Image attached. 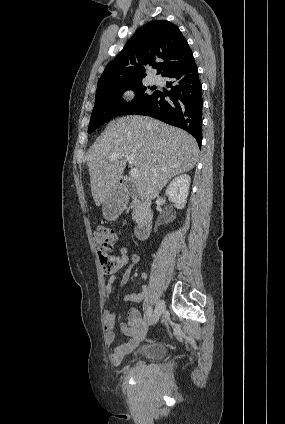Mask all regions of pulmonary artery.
Segmentation results:
<instances>
[{
    "label": "pulmonary artery",
    "mask_w": 285,
    "mask_h": 424,
    "mask_svg": "<svg viewBox=\"0 0 285 424\" xmlns=\"http://www.w3.org/2000/svg\"><path fill=\"white\" fill-rule=\"evenodd\" d=\"M152 82L154 84H158L159 83V78L158 77H153Z\"/></svg>",
    "instance_id": "pulmonary-artery-1"
}]
</instances>
